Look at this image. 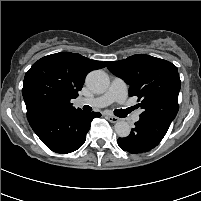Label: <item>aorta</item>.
Returning a JSON list of instances; mask_svg holds the SVG:
<instances>
[{"mask_svg": "<svg viewBox=\"0 0 201 201\" xmlns=\"http://www.w3.org/2000/svg\"><path fill=\"white\" fill-rule=\"evenodd\" d=\"M86 84L94 93L102 94L109 87V77L102 70H94L87 75ZM114 130L119 137L125 138L129 136L131 128L128 122L118 121L114 125Z\"/></svg>", "mask_w": 201, "mask_h": 201, "instance_id": "aorta-1", "label": "aorta"}]
</instances>
